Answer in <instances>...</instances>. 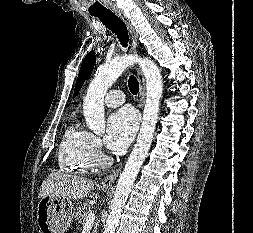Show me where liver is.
I'll use <instances>...</instances> for the list:
<instances>
[{
	"label": "liver",
	"mask_w": 253,
	"mask_h": 233,
	"mask_svg": "<svg viewBox=\"0 0 253 233\" xmlns=\"http://www.w3.org/2000/svg\"><path fill=\"white\" fill-rule=\"evenodd\" d=\"M94 188L92 180L82 177L54 172L42 182L39 198L56 196L65 199L79 200L86 197Z\"/></svg>",
	"instance_id": "liver-1"
}]
</instances>
